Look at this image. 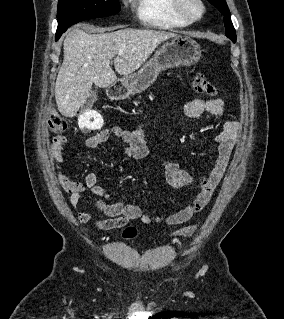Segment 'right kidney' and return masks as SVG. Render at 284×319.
Instances as JSON below:
<instances>
[{
    "label": "right kidney",
    "instance_id": "1",
    "mask_svg": "<svg viewBox=\"0 0 284 319\" xmlns=\"http://www.w3.org/2000/svg\"><path fill=\"white\" fill-rule=\"evenodd\" d=\"M104 124L102 116L93 110H87L78 118V125L81 130L100 129Z\"/></svg>",
    "mask_w": 284,
    "mask_h": 319
}]
</instances>
